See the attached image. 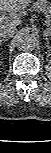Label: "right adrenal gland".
I'll return each mask as SVG.
<instances>
[{
    "label": "right adrenal gland",
    "mask_w": 51,
    "mask_h": 153,
    "mask_svg": "<svg viewBox=\"0 0 51 153\" xmlns=\"http://www.w3.org/2000/svg\"><path fill=\"white\" fill-rule=\"evenodd\" d=\"M5 41H7V39H1L0 44H2V42H5Z\"/></svg>",
    "instance_id": "1"
}]
</instances>
